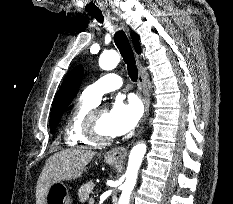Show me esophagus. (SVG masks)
<instances>
[{
  "label": "esophagus",
  "mask_w": 233,
  "mask_h": 204,
  "mask_svg": "<svg viewBox=\"0 0 233 204\" xmlns=\"http://www.w3.org/2000/svg\"><path fill=\"white\" fill-rule=\"evenodd\" d=\"M138 89L140 91L144 106H145V118L149 115L150 107V95L147 87V83L144 77L142 65L138 63ZM127 155V149L125 147H116L106 154V158L121 161Z\"/></svg>",
  "instance_id": "obj_1"
}]
</instances>
